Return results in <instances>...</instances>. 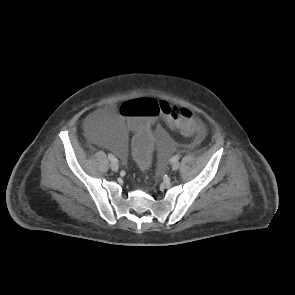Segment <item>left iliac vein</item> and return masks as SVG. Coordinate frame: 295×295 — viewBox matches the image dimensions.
Instances as JSON below:
<instances>
[{"label":"left iliac vein","instance_id":"left-iliac-vein-1","mask_svg":"<svg viewBox=\"0 0 295 295\" xmlns=\"http://www.w3.org/2000/svg\"><path fill=\"white\" fill-rule=\"evenodd\" d=\"M179 167H180V162L179 161H177V162H174L173 164H172V170H178L179 169Z\"/></svg>","mask_w":295,"mask_h":295}]
</instances>
